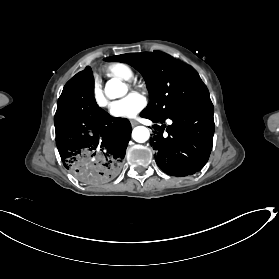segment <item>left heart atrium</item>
<instances>
[{
	"label": "left heart atrium",
	"instance_id": "obj_1",
	"mask_svg": "<svg viewBox=\"0 0 279 279\" xmlns=\"http://www.w3.org/2000/svg\"><path fill=\"white\" fill-rule=\"evenodd\" d=\"M146 101L139 94H129L110 106V114L116 118H133L144 109Z\"/></svg>",
	"mask_w": 279,
	"mask_h": 279
}]
</instances>
